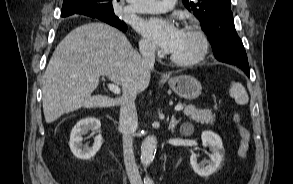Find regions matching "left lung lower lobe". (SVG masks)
<instances>
[{"instance_id":"1","label":"left lung lower lobe","mask_w":293,"mask_h":184,"mask_svg":"<svg viewBox=\"0 0 293 184\" xmlns=\"http://www.w3.org/2000/svg\"><path fill=\"white\" fill-rule=\"evenodd\" d=\"M220 49L224 55L216 57L219 61L234 64L250 76L247 55L239 37H228L227 42L223 43Z\"/></svg>"}]
</instances>
